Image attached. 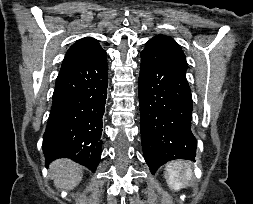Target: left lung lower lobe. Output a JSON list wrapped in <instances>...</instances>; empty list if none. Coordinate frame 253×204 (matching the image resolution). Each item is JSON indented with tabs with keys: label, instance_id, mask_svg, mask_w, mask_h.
I'll list each match as a JSON object with an SVG mask.
<instances>
[{
	"label": "left lung lower lobe",
	"instance_id": "obj_1",
	"mask_svg": "<svg viewBox=\"0 0 253 204\" xmlns=\"http://www.w3.org/2000/svg\"><path fill=\"white\" fill-rule=\"evenodd\" d=\"M187 65L158 47L141 52L140 127L144 158L152 173L169 160L195 159L192 95Z\"/></svg>",
	"mask_w": 253,
	"mask_h": 204
}]
</instances>
